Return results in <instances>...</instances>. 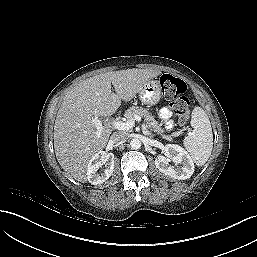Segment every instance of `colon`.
I'll list each match as a JSON object with an SVG mask.
<instances>
[{
  "label": "colon",
  "mask_w": 257,
  "mask_h": 257,
  "mask_svg": "<svg viewBox=\"0 0 257 257\" xmlns=\"http://www.w3.org/2000/svg\"><path fill=\"white\" fill-rule=\"evenodd\" d=\"M164 97L170 101V107L177 116L180 124H185L189 119L191 104L186 95V83L171 74H163L159 80Z\"/></svg>",
  "instance_id": "5ec220e1"
}]
</instances>
